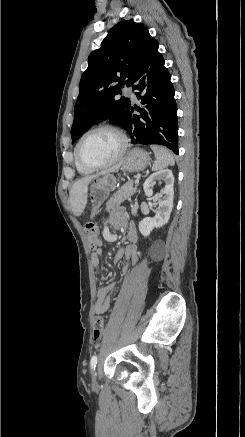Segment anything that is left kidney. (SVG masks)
I'll list each match as a JSON object with an SVG mask.
<instances>
[{
  "mask_svg": "<svg viewBox=\"0 0 245 437\" xmlns=\"http://www.w3.org/2000/svg\"><path fill=\"white\" fill-rule=\"evenodd\" d=\"M156 179L164 182V188L162 195H155V200L158 201V209L156 215L153 218L146 217L139 223V231L145 237L149 236L154 228H160L167 224L170 218V214L173 208L174 199V176L170 169H163L151 174L144 182L143 188L147 197H152V182Z\"/></svg>",
  "mask_w": 245,
  "mask_h": 437,
  "instance_id": "obj_1",
  "label": "left kidney"
}]
</instances>
